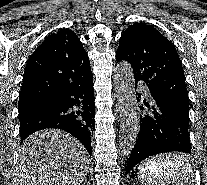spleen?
<instances>
[{
    "instance_id": "1",
    "label": "spleen",
    "mask_w": 207,
    "mask_h": 185,
    "mask_svg": "<svg viewBox=\"0 0 207 185\" xmlns=\"http://www.w3.org/2000/svg\"><path fill=\"white\" fill-rule=\"evenodd\" d=\"M181 151L154 153V158H143L135 171H147L140 174L145 185H190L194 183L197 172H192L191 158H180ZM180 158V159H174Z\"/></svg>"
}]
</instances>
